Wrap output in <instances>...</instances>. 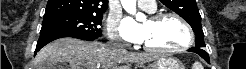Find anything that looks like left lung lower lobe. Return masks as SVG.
<instances>
[{
    "label": "left lung lower lobe",
    "instance_id": "left-lung-lower-lobe-1",
    "mask_svg": "<svg viewBox=\"0 0 246 69\" xmlns=\"http://www.w3.org/2000/svg\"><path fill=\"white\" fill-rule=\"evenodd\" d=\"M188 51L190 52H194V53H197L198 55H200L205 61H207L208 63H210L209 61V55L206 51H204L203 49L201 48H190Z\"/></svg>",
    "mask_w": 246,
    "mask_h": 69
}]
</instances>
